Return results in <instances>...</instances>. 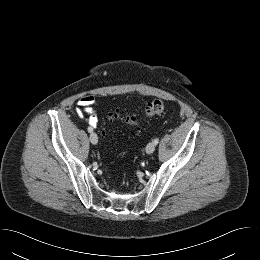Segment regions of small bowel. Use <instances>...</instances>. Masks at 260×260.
Here are the masks:
<instances>
[{
	"label": "small bowel",
	"mask_w": 260,
	"mask_h": 260,
	"mask_svg": "<svg viewBox=\"0 0 260 260\" xmlns=\"http://www.w3.org/2000/svg\"><path fill=\"white\" fill-rule=\"evenodd\" d=\"M96 103L95 97L91 95H86L81 97L78 102L75 109L76 114L80 118H87V121L90 125V127L93 129L98 124V118L94 112V105Z\"/></svg>",
	"instance_id": "1"
}]
</instances>
